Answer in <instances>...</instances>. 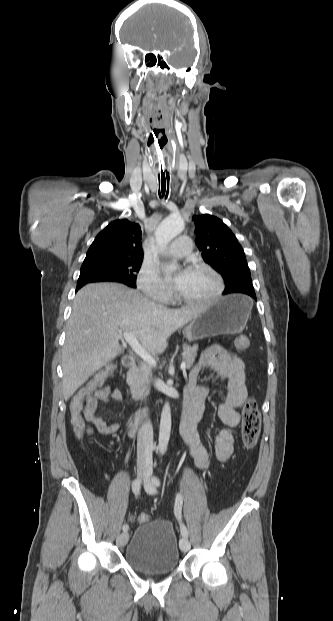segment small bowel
<instances>
[{"instance_id":"obj_1","label":"small bowel","mask_w":333,"mask_h":621,"mask_svg":"<svg viewBox=\"0 0 333 621\" xmlns=\"http://www.w3.org/2000/svg\"><path fill=\"white\" fill-rule=\"evenodd\" d=\"M204 368L215 371L220 378L227 381L228 385L226 400L218 408V415L228 429L219 431L215 437L216 456L221 462L227 461L233 453L234 429L240 422L238 409L248 396L246 368L240 357L219 346H212L201 354L198 363L188 376V385L192 387V403L181 424L182 438L195 465L200 470H206L210 464L209 455L200 444L195 431V423L202 415L204 402L210 391L208 384L198 382V376ZM122 399V393L110 387L98 388L87 396L82 406L86 433L93 434L97 431L102 435H111L117 432L120 425L117 422H105L96 414V410L99 402L107 403L110 400L121 401Z\"/></svg>"}]
</instances>
